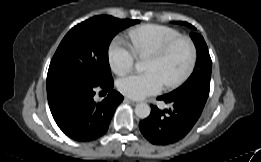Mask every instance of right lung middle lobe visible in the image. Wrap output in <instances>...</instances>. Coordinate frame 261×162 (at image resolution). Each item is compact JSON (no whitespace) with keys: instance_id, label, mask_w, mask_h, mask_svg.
Masks as SVG:
<instances>
[{"instance_id":"dd1d6c3e","label":"right lung middle lobe","mask_w":261,"mask_h":162,"mask_svg":"<svg viewBox=\"0 0 261 162\" xmlns=\"http://www.w3.org/2000/svg\"><path fill=\"white\" fill-rule=\"evenodd\" d=\"M138 22L99 15L73 27L51 60L47 90L68 80H78L92 86L109 80V44L118 32Z\"/></svg>"}]
</instances>
